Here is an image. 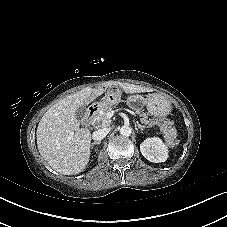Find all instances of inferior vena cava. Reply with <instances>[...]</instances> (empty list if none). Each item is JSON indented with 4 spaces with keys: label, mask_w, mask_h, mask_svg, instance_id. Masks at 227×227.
<instances>
[{
    "label": "inferior vena cava",
    "mask_w": 227,
    "mask_h": 227,
    "mask_svg": "<svg viewBox=\"0 0 227 227\" xmlns=\"http://www.w3.org/2000/svg\"><path fill=\"white\" fill-rule=\"evenodd\" d=\"M110 128H103V129H98L93 132L92 138L95 141H101L106 137V135L109 133Z\"/></svg>",
    "instance_id": "inferior-vena-cava-1"
}]
</instances>
